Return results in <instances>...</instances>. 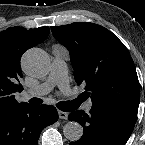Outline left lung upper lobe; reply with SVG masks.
<instances>
[{
  "label": "left lung upper lobe",
  "instance_id": "left-lung-upper-lobe-1",
  "mask_svg": "<svg viewBox=\"0 0 145 145\" xmlns=\"http://www.w3.org/2000/svg\"><path fill=\"white\" fill-rule=\"evenodd\" d=\"M70 53L78 84L93 105H139L140 86L134 62L112 32L94 23L75 22L51 27Z\"/></svg>",
  "mask_w": 145,
  "mask_h": 145
}]
</instances>
